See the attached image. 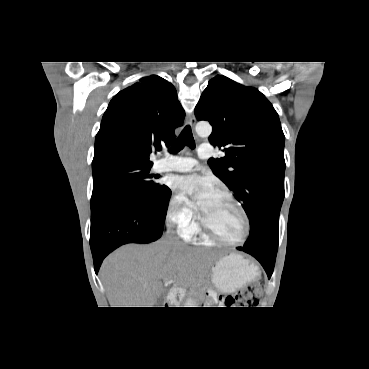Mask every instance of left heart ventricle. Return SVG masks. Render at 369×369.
Returning <instances> with one entry per match:
<instances>
[{
  "label": "left heart ventricle",
  "mask_w": 369,
  "mask_h": 369,
  "mask_svg": "<svg viewBox=\"0 0 369 369\" xmlns=\"http://www.w3.org/2000/svg\"><path fill=\"white\" fill-rule=\"evenodd\" d=\"M206 224L216 234L228 240L243 235V218L236 206L226 197L214 194L201 208Z\"/></svg>",
  "instance_id": "b2bd125f"
}]
</instances>
